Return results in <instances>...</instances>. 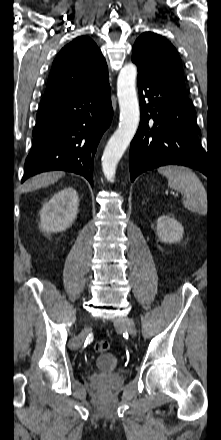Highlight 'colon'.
Wrapping results in <instances>:
<instances>
[{"label":"colon","instance_id":"colon-1","mask_svg":"<svg viewBox=\"0 0 221 440\" xmlns=\"http://www.w3.org/2000/svg\"><path fill=\"white\" fill-rule=\"evenodd\" d=\"M110 349V343L107 341H98L94 344V350L97 352H107Z\"/></svg>","mask_w":221,"mask_h":440}]
</instances>
